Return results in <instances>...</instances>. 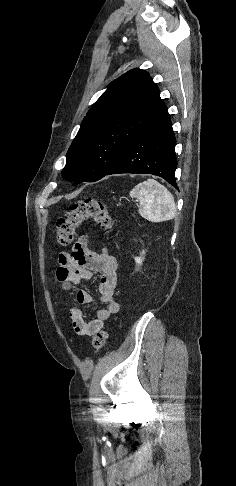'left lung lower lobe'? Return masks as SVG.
Here are the masks:
<instances>
[{
    "label": "left lung lower lobe",
    "instance_id": "left-lung-lower-lobe-1",
    "mask_svg": "<svg viewBox=\"0 0 236 486\" xmlns=\"http://www.w3.org/2000/svg\"><path fill=\"white\" fill-rule=\"evenodd\" d=\"M176 139L166 109L130 143L106 175L119 173L153 174L177 188Z\"/></svg>",
    "mask_w": 236,
    "mask_h": 486
}]
</instances>
